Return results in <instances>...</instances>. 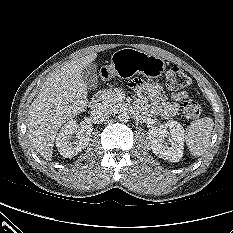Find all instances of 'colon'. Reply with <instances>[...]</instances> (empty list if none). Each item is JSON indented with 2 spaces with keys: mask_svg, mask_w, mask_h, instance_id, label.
I'll return each instance as SVG.
<instances>
[{
  "mask_svg": "<svg viewBox=\"0 0 233 233\" xmlns=\"http://www.w3.org/2000/svg\"><path fill=\"white\" fill-rule=\"evenodd\" d=\"M190 77L179 67H172L166 74V85L169 89L179 90L189 86ZM183 116L188 120L198 118L202 112V107L195 99H189L183 104Z\"/></svg>",
  "mask_w": 233,
  "mask_h": 233,
  "instance_id": "1",
  "label": "colon"
}]
</instances>
